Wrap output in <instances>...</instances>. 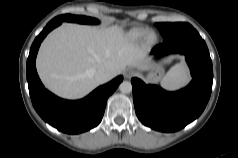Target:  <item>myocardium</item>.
I'll list each match as a JSON object with an SVG mask.
<instances>
[{"label": "myocardium", "instance_id": "obj_1", "mask_svg": "<svg viewBox=\"0 0 238 158\" xmlns=\"http://www.w3.org/2000/svg\"><path fill=\"white\" fill-rule=\"evenodd\" d=\"M156 39H157L156 34L152 31H148L144 35V41L147 45L155 43Z\"/></svg>", "mask_w": 238, "mask_h": 158}]
</instances>
